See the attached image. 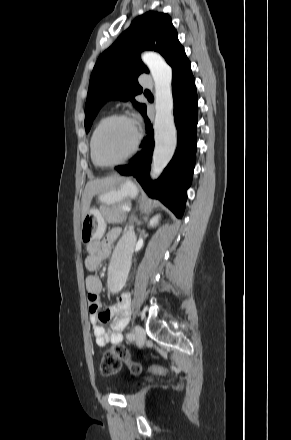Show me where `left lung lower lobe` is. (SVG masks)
Instances as JSON below:
<instances>
[{
	"label": "left lung lower lobe",
	"mask_w": 291,
	"mask_h": 440,
	"mask_svg": "<svg viewBox=\"0 0 291 440\" xmlns=\"http://www.w3.org/2000/svg\"><path fill=\"white\" fill-rule=\"evenodd\" d=\"M172 90L174 99V119L178 132L175 155L163 171L160 178L151 181L149 177L154 132L147 117V137L142 141V150L128 165L116 166L124 176H134L143 189L153 198L159 199L178 218L184 213L187 199L186 190L192 180L196 160V128L198 122V98L191 64L184 53L172 66Z\"/></svg>",
	"instance_id": "1"
}]
</instances>
